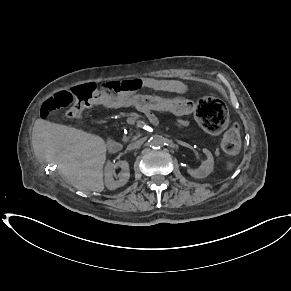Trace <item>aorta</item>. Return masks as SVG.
<instances>
[{
  "instance_id": "762f6f07",
  "label": "aorta",
  "mask_w": 291,
  "mask_h": 291,
  "mask_svg": "<svg viewBox=\"0 0 291 291\" xmlns=\"http://www.w3.org/2000/svg\"><path fill=\"white\" fill-rule=\"evenodd\" d=\"M165 139L162 135L155 134L149 139V145L152 148H160L164 145Z\"/></svg>"
}]
</instances>
